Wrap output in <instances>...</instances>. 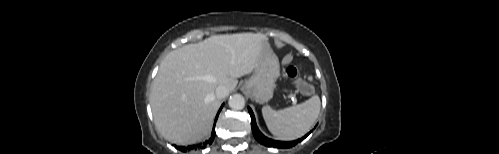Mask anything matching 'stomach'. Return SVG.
<instances>
[{
    "label": "stomach",
    "instance_id": "0dacf381",
    "mask_svg": "<svg viewBox=\"0 0 499 154\" xmlns=\"http://www.w3.org/2000/svg\"><path fill=\"white\" fill-rule=\"evenodd\" d=\"M280 76L277 56L268 46L262 53L254 74L245 81L243 88L256 102H268L274 93L275 82Z\"/></svg>",
    "mask_w": 499,
    "mask_h": 154
}]
</instances>
